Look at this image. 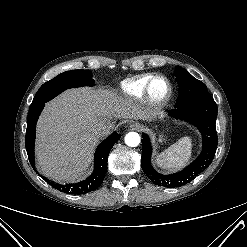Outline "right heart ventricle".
<instances>
[{"label":"right heart ventricle","mask_w":247,"mask_h":247,"mask_svg":"<svg viewBox=\"0 0 247 247\" xmlns=\"http://www.w3.org/2000/svg\"><path fill=\"white\" fill-rule=\"evenodd\" d=\"M152 77V74H142L128 78L121 82L120 93L127 99L139 100L144 96L146 85Z\"/></svg>","instance_id":"right-heart-ventricle-1"}]
</instances>
